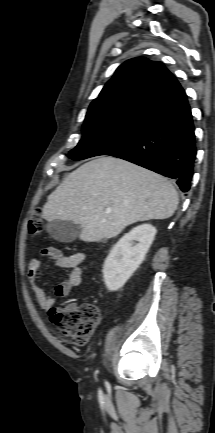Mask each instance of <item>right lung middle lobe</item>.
<instances>
[{
    "label": "right lung middle lobe",
    "mask_w": 215,
    "mask_h": 433,
    "mask_svg": "<svg viewBox=\"0 0 215 433\" xmlns=\"http://www.w3.org/2000/svg\"><path fill=\"white\" fill-rule=\"evenodd\" d=\"M145 117L130 115L84 122L83 137L68 157L77 161L123 148L137 135Z\"/></svg>",
    "instance_id": "dd1d6c3e"
}]
</instances>
